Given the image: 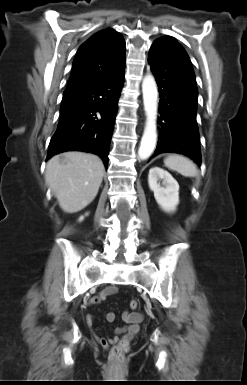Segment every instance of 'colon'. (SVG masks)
Listing matches in <instances>:
<instances>
[{
  "mask_svg": "<svg viewBox=\"0 0 247 385\" xmlns=\"http://www.w3.org/2000/svg\"><path fill=\"white\" fill-rule=\"evenodd\" d=\"M138 306H139V304L137 301H135V300L131 301L130 308L132 310L137 309ZM128 345H129L128 339L123 338L116 346H114L110 351V357H111L112 361L120 362L122 357H123L124 352L128 348Z\"/></svg>",
  "mask_w": 247,
  "mask_h": 385,
  "instance_id": "obj_1",
  "label": "colon"
}]
</instances>
